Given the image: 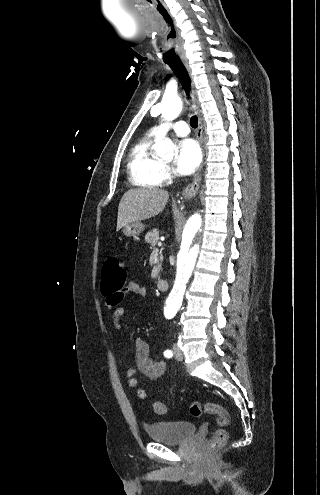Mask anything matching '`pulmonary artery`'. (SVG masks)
<instances>
[{
    "mask_svg": "<svg viewBox=\"0 0 320 495\" xmlns=\"http://www.w3.org/2000/svg\"><path fill=\"white\" fill-rule=\"evenodd\" d=\"M172 130L175 132L178 136H187L189 134V127L186 122L184 121H178L174 124H161L158 126H155L151 130V134L154 136H162L166 134L168 131Z\"/></svg>",
    "mask_w": 320,
    "mask_h": 495,
    "instance_id": "e3ab8cb5",
    "label": "pulmonary artery"
}]
</instances>
